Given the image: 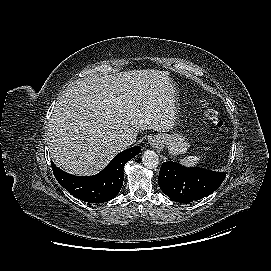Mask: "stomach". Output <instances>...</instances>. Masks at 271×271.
I'll return each mask as SVG.
<instances>
[{"instance_id": "0dacf381", "label": "stomach", "mask_w": 271, "mask_h": 271, "mask_svg": "<svg viewBox=\"0 0 271 271\" xmlns=\"http://www.w3.org/2000/svg\"><path fill=\"white\" fill-rule=\"evenodd\" d=\"M163 143L167 145L171 155L184 154L188 151L190 144L180 133L161 134Z\"/></svg>"}]
</instances>
